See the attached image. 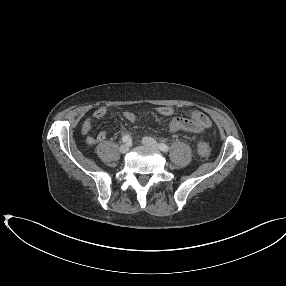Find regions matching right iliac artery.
Segmentation results:
<instances>
[{"label": "right iliac artery", "mask_w": 286, "mask_h": 286, "mask_svg": "<svg viewBox=\"0 0 286 286\" xmlns=\"http://www.w3.org/2000/svg\"><path fill=\"white\" fill-rule=\"evenodd\" d=\"M122 141L124 143H128V142L131 141V137L129 135H125V136L122 137Z\"/></svg>", "instance_id": "1"}]
</instances>
